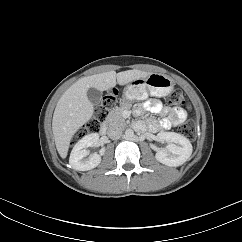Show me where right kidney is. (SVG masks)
<instances>
[{
    "label": "right kidney",
    "mask_w": 242,
    "mask_h": 242,
    "mask_svg": "<svg viewBox=\"0 0 242 242\" xmlns=\"http://www.w3.org/2000/svg\"><path fill=\"white\" fill-rule=\"evenodd\" d=\"M99 134L92 133L79 140L71 151L69 164L77 171H88L97 167L101 162V156L105 153L102 148L99 153H92L86 150L87 147L96 146L99 141Z\"/></svg>",
    "instance_id": "obj_1"
}]
</instances>
